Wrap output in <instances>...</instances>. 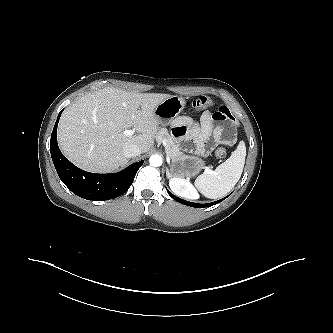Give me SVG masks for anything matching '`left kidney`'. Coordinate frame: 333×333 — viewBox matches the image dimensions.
<instances>
[{"label": "left kidney", "instance_id": "left-kidney-1", "mask_svg": "<svg viewBox=\"0 0 333 333\" xmlns=\"http://www.w3.org/2000/svg\"><path fill=\"white\" fill-rule=\"evenodd\" d=\"M169 186L171 190L178 196L185 197L188 199H198L199 194L193 185L181 178H170Z\"/></svg>", "mask_w": 333, "mask_h": 333}]
</instances>
